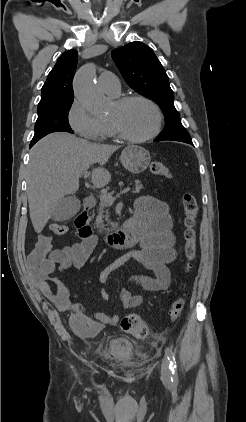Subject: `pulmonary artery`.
<instances>
[{"instance_id": "e3ab8cb5", "label": "pulmonary artery", "mask_w": 246, "mask_h": 422, "mask_svg": "<svg viewBox=\"0 0 246 422\" xmlns=\"http://www.w3.org/2000/svg\"><path fill=\"white\" fill-rule=\"evenodd\" d=\"M98 85L108 94L116 96L120 93V82L111 72L106 71L101 73L98 77Z\"/></svg>"}]
</instances>
